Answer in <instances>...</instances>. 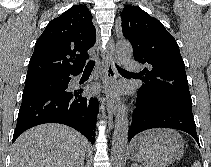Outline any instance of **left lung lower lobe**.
Segmentation results:
<instances>
[{
  "mask_svg": "<svg viewBox=\"0 0 211 167\" xmlns=\"http://www.w3.org/2000/svg\"><path fill=\"white\" fill-rule=\"evenodd\" d=\"M136 110L130 120L128 141L151 128H173L190 134L199 144L192 109L137 93ZM200 145V144H199Z\"/></svg>",
  "mask_w": 211,
  "mask_h": 167,
  "instance_id": "left-lung-lower-lobe-1",
  "label": "left lung lower lobe"
}]
</instances>
